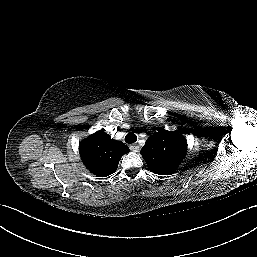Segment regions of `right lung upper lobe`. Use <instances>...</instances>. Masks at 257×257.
<instances>
[{
  "label": "right lung upper lobe",
  "mask_w": 257,
  "mask_h": 257,
  "mask_svg": "<svg viewBox=\"0 0 257 257\" xmlns=\"http://www.w3.org/2000/svg\"><path fill=\"white\" fill-rule=\"evenodd\" d=\"M79 152L82 162L91 173L106 177L117 170L121 157L129 152V148L103 131H97L82 140Z\"/></svg>",
  "instance_id": "cb5924a9"
}]
</instances>
